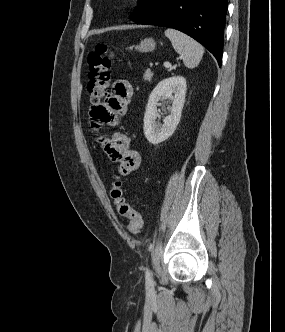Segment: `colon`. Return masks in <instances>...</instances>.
Wrapping results in <instances>:
<instances>
[{
  "mask_svg": "<svg viewBox=\"0 0 285 332\" xmlns=\"http://www.w3.org/2000/svg\"><path fill=\"white\" fill-rule=\"evenodd\" d=\"M114 52L106 44H97L88 55L87 91L92 105H98L107 95L110 82V67ZM110 198L119 215L127 219L128 231L136 235L143 226L141 214L134 209L124 196L122 181L116 174L111 176Z\"/></svg>",
  "mask_w": 285,
  "mask_h": 332,
  "instance_id": "obj_1",
  "label": "colon"
}]
</instances>
